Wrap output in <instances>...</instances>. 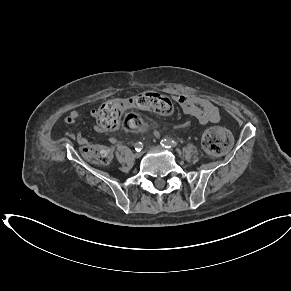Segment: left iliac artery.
I'll return each instance as SVG.
<instances>
[{
	"instance_id": "1",
	"label": "left iliac artery",
	"mask_w": 291,
	"mask_h": 291,
	"mask_svg": "<svg viewBox=\"0 0 291 291\" xmlns=\"http://www.w3.org/2000/svg\"><path fill=\"white\" fill-rule=\"evenodd\" d=\"M160 144L165 148H173L178 146V143L172 139H162Z\"/></svg>"
}]
</instances>
